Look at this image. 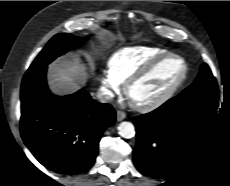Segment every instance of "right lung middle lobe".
Returning <instances> with one entry per match:
<instances>
[{
    "mask_svg": "<svg viewBox=\"0 0 230 186\" xmlns=\"http://www.w3.org/2000/svg\"><path fill=\"white\" fill-rule=\"evenodd\" d=\"M86 39L73 36L67 33L56 34L35 58L28 71L47 66L58 56L66 53Z\"/></svg>",
    "mask_w": 230,
    "mask_h": 186,
    "instance_id": "1",
    "label": "right lung middle lobe"
}]
</instances>
